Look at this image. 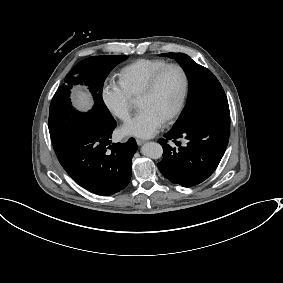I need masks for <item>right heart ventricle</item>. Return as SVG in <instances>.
Listing matches in <instances>:
<instances>
[{"mask_svg": "<svg viewBox=\"0 0 283 283\" xmlns=\"http://www.w3.org/2000/svg\"><path fill=\"white\" fill-rule=\"evenodd\" d=\"M169 64L162 58H141L123 66L119 81L132 99L139 96L147 80L160 68Z\"/></svg>", "mask_w": 283, "mask_h": 283, "instance_id": "right-heart-ventricle-1", "label": "right heart ventricle"}]
</instances>
